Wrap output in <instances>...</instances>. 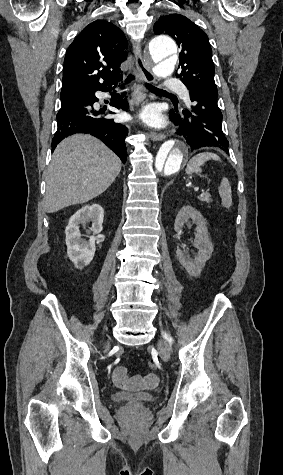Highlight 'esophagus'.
<instances>
[{"label":"esophagus","instance_id":"obj_1","mask_svg":"<svg viewBox=\"0 0 283 475\" xmlns=\"http://www.w3.org/2000/svg\"><path fill=\"white\" fill-rule=\"evenodd\" d=\"M133 53L135 56V65L139 72V76L143 78V80L149 84L155 83L156 77L143 60L141 45L139 42L133 43ZM137 90L140 91L141 93H143L144 91L143 87L141 86H138ZM140 100H143V98H140ZM150 138L151 140L159 141V140H163L165 138V135L159 132H151Z\"/></svg>","mask_w":283,"mask_h":475}]
</instances>
